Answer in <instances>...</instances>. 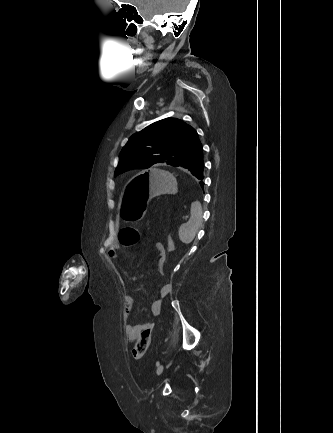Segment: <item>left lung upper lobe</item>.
Instances as JSON below:
<instances>
[{"mask_svg":"<svg viewBox=\"0 0 333 433\" xmlns=\"http://www.w3.org/2000/svg\"><path fill=\"white\" fill-rule=\"evenodd\" d=\"M201 147L194 128L180 119L166 118L129 139L120 153L115 175L133 168H149L154 164L180 167Z\"/></svg>","mask_w":333,"mask_h":433,"instance_id":"left-lung-upper-lobe-1","label":"left lung upper lobe"}]
</instances>
